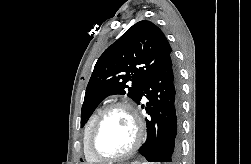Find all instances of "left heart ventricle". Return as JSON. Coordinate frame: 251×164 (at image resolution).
<instances>
[{
	"label": "left heart ventricle",
	"instance_id": "b2bd125f",
	"mask_svg": "<svg viewBox=\"0 0 251 164\" xmlns=\"http://www.w3.org/2000/svg\"><path fill=\"white\" fill-rule=\"evenodd\" d=\"M135 137L136 129L131 115L125 109H115L104 119L94 148L102 156H117L130 149Z\"/></svg>",
	"mask_w": 251,
	"mask_h": 164
}]
</instances>
